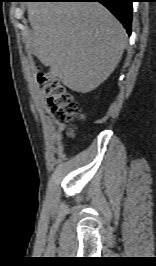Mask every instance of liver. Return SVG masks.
I'll use <instances>...</instances> for the list:
<instances>
[{"mask_svg": "<svg viewBox=\"0 0 156 266\" xmlns=\"http://www.w3.org/2000/svg\"><path fill=\"white\" fill-rule=\"evenodd\" d=\"M27 12L26 47L72 91L96 89L119 64L127 33L100 3L35 2Z\"/></svg>", "mask_w": 156, "mask_h": 266, "instance_id": "liver-1", "label": "liver"}]
</instances>
